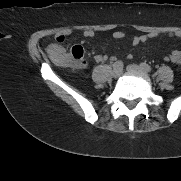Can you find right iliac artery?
Returning <instances> with one entry per match:
<instances>
[{"label": "right iliac artery", "mask_w": 181, "mask_h": 181, "mask_svg": "<svg viewBox=\"0 0 181 181\" xmlns=\"http://www.w3.org/2000/svg\"><path fill=\"white\" fill-rule=\"evenodd\" d=\"M123 65L122 61H116L114 64H113V67H121Z\"/></svg>", "instance_id": "right-iliac-artery-1"}]
</instances>
